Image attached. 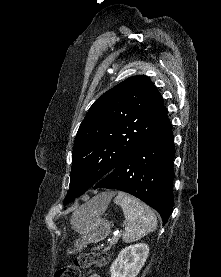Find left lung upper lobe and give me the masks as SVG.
<instances>
[{"mask_svg": "<svg viewBox=\"0 0 221 277\" xmlns=\"http://www.w3.org/2000/svg\"><path fill=\"white\" fill-rule=\"evenodd\" d=\"M167 119L162 96L147 76L130 77L104 93L77 132L64 204L111 173Z\"/></svg>", "mask_w": 221, "mask_h": 277, "instance_id": "5c2ea615", "label": "left lung upper lobe"}]
</instances>
